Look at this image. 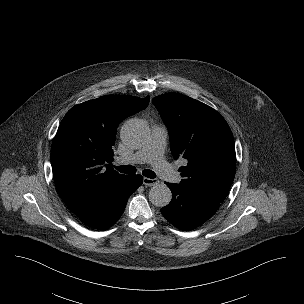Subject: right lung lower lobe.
<instances>
[{
	"label": "right lung lower lobe",
	"instance_id": "98d812e1",
	"mask_svg": "<svg viewBox=\"0 0 304 304\" xmlns=\"http://www.w3.org/2000/svg\"><path fill=\"white\" fill-rule=\"evenodd\" d=\"M141 175H122L115 179L97 202L79 219L95 229H107L113 226L124 212L129 196L141 186Z\"/></svg>",
	"mask_w": 304,
	"mask_h": 304
}]
</instances>
